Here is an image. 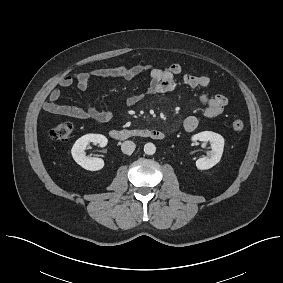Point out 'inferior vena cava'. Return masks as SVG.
<instances>
[{
  "label": "inferior vena cava",
  "mask_w": 283,
  "mask_h": 283,
  "mask_svg": "<svg viewBox=\"0 0 283 283\" xmlns=\"http://www.w3.org/2000/svg\"><path fill=\"white\" fill-rule=\"evenodd\" d=\"M136 148V145L133 141H124L121 145V150L124 154L131 155Z\"/></svg>",
  "instance_id": "1"
}]
</instances>
